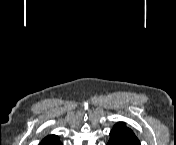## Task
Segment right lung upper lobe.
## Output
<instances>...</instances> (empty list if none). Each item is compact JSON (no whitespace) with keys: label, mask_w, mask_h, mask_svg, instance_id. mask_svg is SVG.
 Returning a JSON list of instances; mask_svg holds the SVG:
<instances>
[{"label":"right lung upper lobe","mask_w":176,"mask_h":145,"mask_svg":"<svg viewBox=\"0 0 176 145\" xmlns=\"http://www.w3.org/2000/svg\"><path fill=\"white\" fill-rule=\"evenodd\" d=\"M60 144L61 142L59 141L58 136L55 135H48L40 143V145H60Z\"/></svg>","instance_id":"obj_1"}]
</instances>
